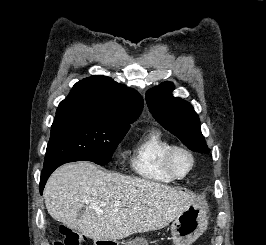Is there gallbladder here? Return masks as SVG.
<instances>
[{
	"label": "gallbladder",
	"instance_id": "gallbladder-1",
	"mask_svg": "<svg viewBox=\"0 0 266 245\" xmlns=\"http://www.w3.org/2000/svg\"><path fill=\"white\" fill-rule=\"evenodd\" d=\"M80 215H82V213H78L77 217H80Z\"/></svg>",
	"mask_w": 266,
	"mask_h": 245
}]
</instances>
